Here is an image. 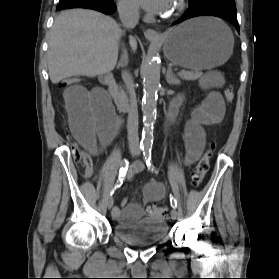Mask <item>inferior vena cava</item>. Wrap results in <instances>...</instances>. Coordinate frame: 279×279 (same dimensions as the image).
Listing matches in <instances>:
<instances>
[{"mask_svg": "<svg viewBox=\"0 0 279 279\" xmlns=\"http://www.w3.org/2000/svg\"><path fill=\"white\" fill-rule=\"evenodd\" d=\"M119 17L121 23L126 29H133L139 21V8L133 4H121L118 6ZM129 96L130 105L128 110L127 130L128 141L131 147L137 148L139 144L138 139V111L136 96L134 91V83L132 76L128 72H124L123 75Z\"/></svg>", "mask_w": 279, "mask_h": 279, "instance_id": "1", "label": "inferior vena cava"}]
</instances>
